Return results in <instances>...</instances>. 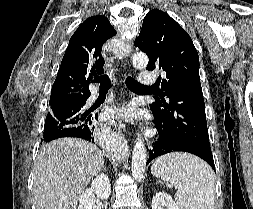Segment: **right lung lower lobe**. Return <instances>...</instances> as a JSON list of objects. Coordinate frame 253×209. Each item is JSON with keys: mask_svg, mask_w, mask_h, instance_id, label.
<instances>
[{"mask_svg": "<svg viewBox=\"0 0 253 209\" xmlns=\"http://www.w3.org/2000/svg\"><path fill=\"white\" fill-rule=\"evenodd\" d=\"M97 116L90 117V120L87 124H81L78 126H72L68 128L61 129L57 132H48L44 134L42 141L49 142L62 137H77L94 142L96 137V131H94V125L97 121ZM41 141V143H42Z\"/></svg>", "mask_w": 253, "mask_h": 209, "instance_id": "right-lung-lower-lobe-1", "label": "right lung lower lobe"}]
</instances>
